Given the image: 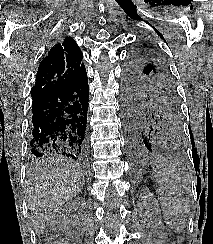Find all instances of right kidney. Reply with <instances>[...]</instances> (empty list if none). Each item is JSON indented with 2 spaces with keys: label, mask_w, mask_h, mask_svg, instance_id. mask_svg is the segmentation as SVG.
<instances>
[{
  "label": "right kidney",
  "mask_w": 213,
  "mask_h": 244,
  "mask_svg": "<svg viewBox=\"0 0 213 244\" xmlns=\"http://www.w3.org/2000/svg\"><path fill=\"white\" fill-rule=\"evenodd\" d=\"M85 205H86V203H85V201H84V199H82V198H75V199H73V200H71L70 202H68L66 205H65V207H64V210H76V209H80V210H82V209H84L85 208ZM82 223H84V219H83V217H82Z\"/></svg>",
  "instance_id": "obj_1"
}]
</instances>
